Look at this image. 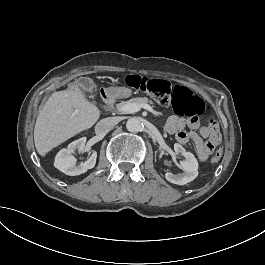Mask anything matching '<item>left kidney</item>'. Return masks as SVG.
<instances>
[{"instance_id": "obj_1", "label": "left kidney", "mask_w": 265, "mask_h": 265, "mask_svg": "<svg viewBox=\"0 0 265 265\" xmlns=\"http://www.w3.org/2000/svg\"><path fill=\"white\" fill-rule=\"evenodd\" d=\"M174 151L175 153H181L186 158V161L180 162V167L183 169L184 175L175 176L168 172L165 177L173 184L184 185L198 176V162L191 152H187L185 148L178 143L174 144Z\"/></svg>"}]
</instances>
